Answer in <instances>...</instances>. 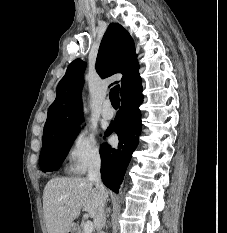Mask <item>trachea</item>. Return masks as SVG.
Here are the masks:
<instances>
[{
	"mask_svg": "<svg viewBox=\"0 0 227 233\" xmlns=\"http://www.w3.org/2000/svg\"><path fill=\"white\" fill-rule=\"evenodd\" d=\"M110 100L112 105L117 106L120 104L119 98V85H116L110 90Z\"/></svg>",
	"mask_w": 227,
	"mask_h": 233,
	"instance_id": "obj_1",
	"label": "trachea"
}]
</instances>
